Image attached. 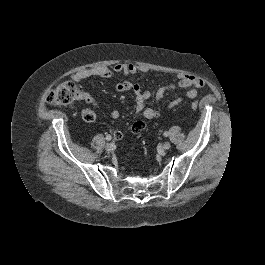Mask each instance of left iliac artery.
Instances as JSON below:
<instances>
[{
	"label": "left iliac artery",
	"instance_id": "1",
	"mask_svg": "<svg viewBox=\"0 0 265 265\" xmlns=\"http://www.w3.org/2000/svg\"><path fill=\"white\" fill-rule=\"evenodd\" d=\"M168 135H169V133H168V132H164V136H166V137H167Z\"/></svg>",
	"mask_w": 265,
	"mask_h": 265
}]
</instances>
